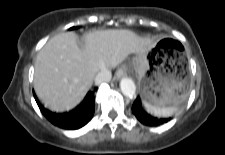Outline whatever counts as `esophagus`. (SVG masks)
<instances>
[{
    "label": "esophagus",
    "instance_id": "esophagus-1",
    "mask_svg": "<svg viewBox=\"0 0 225 155\" xmlns=\"http://www.w3.org/2000/svg\"><path fill=\"white\" fill-rule=\"evenodd\" d=\"M127 75V67L126 66H121L120 68L117 69L114 75V79L118 80L124 76Z\"/></svg>",
    "mask_w": 225,
    "mask_h": 155
}]
</instances>
